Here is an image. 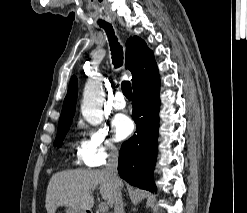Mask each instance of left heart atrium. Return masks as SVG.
<instances>
[{"label":"left heart atrium","instance_id":"39dd6f15","mask_svg":"<svg viewBox=\"0 0 247 213\" xmlns=\"http://www.w3.org/2000/svg\"><path fill=\"white\" fill-rule=\"evenodd\" d=\"M112 128L118 140H123L129 136L133 130L132 121L123 114L114 117L112 121Z\"/></svg>","mask_w":247,"mask_h":213}]
</instances>
